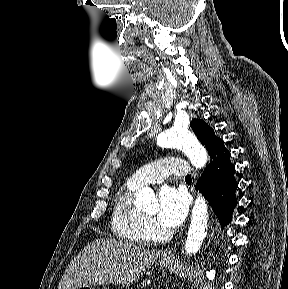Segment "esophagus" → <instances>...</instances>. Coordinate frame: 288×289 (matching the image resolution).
I'll list each match as a JSON object with an SVG mask.
<instances>
[{
    "mask_svg": "<svg viewBox=\"0 0 288 289\" xmlns=\"http://www.w3.org/2000/svg\"><path fill=\"white\" fill-rule=\"evenodd\" d=\"M173 257H174L173 253L171 251H168L163 255V260H171L173 259Z\"/></svg>",
    "mask_w": 288,
    "mask_h": 289,
    "instance_id": "obj_1",
    "label": "esophagus"
}]
</instances>
